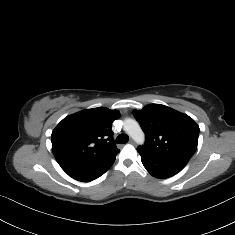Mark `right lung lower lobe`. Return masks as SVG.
Returning a JSON list of instances; mask_svg holds the SVG:
<instances>
[{"label": "right lung lower lobe", "instance_id": "1", "mask_svg": "<svg viewBox=\"0 0 235 235\" xmlns=\"http://www.w3.org/2000/svg\"><path fill=\"white\" fill-rule=\"evenodd\" d=\"M112 165H107L96 169H76V168H62L72 178L82 181L90 182L103 175Z\"/></svg>", "mask_w": 235, "mask_h": 235}]
</instances>
